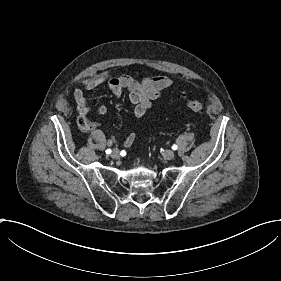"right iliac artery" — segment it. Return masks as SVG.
Listing matches in <instances>:
<instances>
[{
  "mask_svg": "<svg viewBox=\"0 0 281 281\" xmlns=\"http://www.w3.org/2000/svg\"><path fill=\"white\" fill-rule=\"evenodd\" d=\"M110 153H111V149H107L106 154H110Z\"/></svg>",
  "mask_w": 281,
  "mask_h": 281,
  "instance_id": "1",
  "label": "right iliac artery"
}]
</instances>
